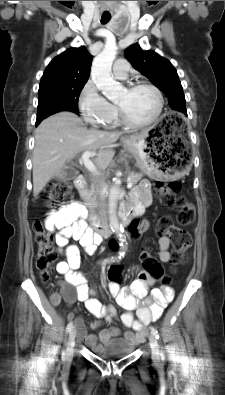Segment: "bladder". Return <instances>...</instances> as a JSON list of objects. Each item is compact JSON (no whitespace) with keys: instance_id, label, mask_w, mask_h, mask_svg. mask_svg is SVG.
Returning <instances> with one entry per match:
<instances>
[{"instance_id":"1","label":"bladder","mask_w":225,"mask_h":395,"mask_svg":"<svg viewBox=\"0 0 225 395\" xmlns=\"http://www.w3.org/2000/svg\"><path fill=\"white\" fill-rule=\"evenodd\" d=\"M135 346L125 338H114L94 347V353L102 358H118L131 354Z\"/></svg>"}]
</instances>
